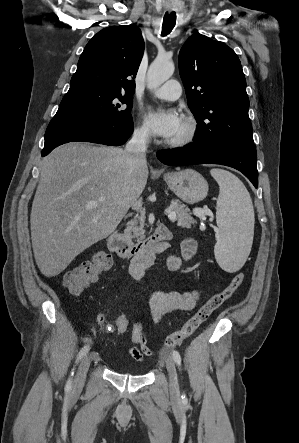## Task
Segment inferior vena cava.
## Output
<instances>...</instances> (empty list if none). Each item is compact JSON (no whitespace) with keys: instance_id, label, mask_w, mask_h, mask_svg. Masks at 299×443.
<instances>
[{"instance_id":"obj_1","label":"inferior vena cava","mask_w":299,"mask_h":443,"mask_svg":"<svg viewBox=\"0 0 299 443\" xmlns=\"http://www.w3.org/2000/svg\"><path fill=\"white\" fill-rule=\"evenodd\" d=\"M148 133L144 130H135L131 140L126 144L125 152L133 157L135 163L146 162Z\"/></svg>"}]
</instances>
